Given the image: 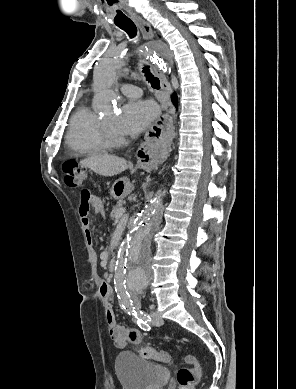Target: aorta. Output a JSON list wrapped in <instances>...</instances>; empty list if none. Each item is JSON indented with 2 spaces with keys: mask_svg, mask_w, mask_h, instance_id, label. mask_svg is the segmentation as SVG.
I'll return each mask as SVG.
<instances>
[{
  "mask_svg": "<svg viewBox=\"0 0 296 389\" xmlns=\"http://www.w3.org/2000/svg\"><path fill=\"white\" fill-rule=\"evenodd\" d=\"M137 58L144 59L145 53L138 52ZM149 62L155 63L156 57L150 56ZM122 66L123 62L118 54H108L95 67V102L102 109L112 108L116 102V95L111 87ZM163 209L162 193L158 192L146 204L119 247L115 263V284L126 299L144 290L151 282V242L162 221Z\"/></svg>",
  "mask_w": 296,
  "mask_h": 389,
  "instance_id": "1",
  "label": "aorta"
}]
</instances>
